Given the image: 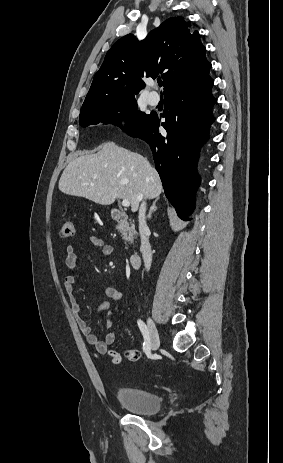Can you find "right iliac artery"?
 Here are the masks:
<instances>
[{"label": "right iliac artery", "instance_id": "right-iliac-artery-1", "mask_svg": "<svg viewBox=\"0 0 283 463\" xmlns=\"http://www.w3.org/2000/svg\"><path fill=\"white\" fill-rule=\"evenodd\" d=\"M139 329L144 337V343H143V350L150 351L151 343H150V337H149V332L146 324L142 320L137 321Z\"/></svg>", "mask_w": 283, "mask_h": 463}]
</instances>
